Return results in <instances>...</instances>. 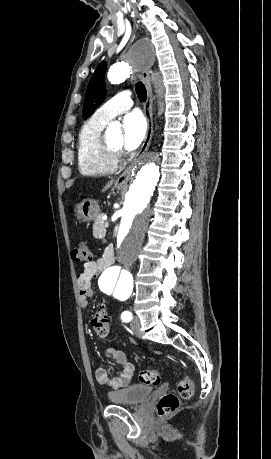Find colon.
I'll use <instances>...</instances> for the list:
<instances>
[{
    "label": "colon",
    "instance_id": "colon-1",
    "mask_svg": "<svg viewBox=\"0 0 271 459\" xmlns=\"http://www.w3.org/2000/svg\"><path fill=\"white\" fill-rule=\"evenodd\" d=\"M72 259L75 262H88L92 260V252L87 242H81L78 247L72 251ZM91 326L95 335L99 339H105L110 332L109 317L106 308L98 307L93 313ZM162 374L158 370H143L139 374V380L147 385H158L161 381ZM193 394V383L188 376L182 378L177 386L176 393H167L163 395L157 404V411L160 416H169L173 414L180 405V398L188 399Z\"/></svg>",
    "mask_w": 271,
    "mask_h": 459
}]
</instances>
